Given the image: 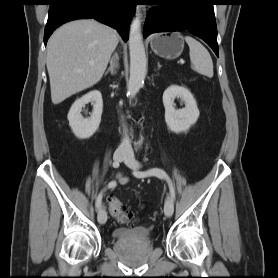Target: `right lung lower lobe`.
<instances>
[{
    "label": "right lung lower lobe",
    "mask_w": 278,
    "mask_h": 278,
    "mask_svg": "<svg viewBox=\"0 0 278 278\" xmlns=\"http://www.w3.org/2000/svg\"><path fill=\"white\" fill-rule=\"evenodd\" d=\"M135 8L134 0H52L44 32V43L46 45L53 31L62 24L89 18L114 27L127 41L129 24Z\"/></svg>",
    "instance_id": "1"
}]
</instances>
